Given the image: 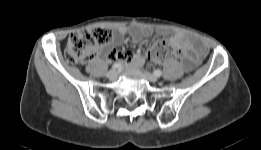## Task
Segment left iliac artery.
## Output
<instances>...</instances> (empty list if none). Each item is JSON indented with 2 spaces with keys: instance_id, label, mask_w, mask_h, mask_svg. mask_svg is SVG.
Segmentation results:
<instances>
[{
  "instance_id": "obj_1",
  "label": "left iliac artery",
  "mask_w": 261,
  "mask_h": 150,
  "mask_svg": "<svg viewBox=\"0 0 261 150\" xmlns=\"http://www.w3.org/2000/svg\"><path fill=\"white\" fill-rule=\"evenodd\" d=\"M154 75L157 76V77H160L162 75V71L157 69L154 71Z\"/></svg>"
}]
</instances>
